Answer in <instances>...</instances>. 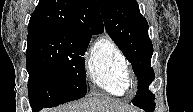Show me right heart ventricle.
Returning <instances> with one entry per match:
<instances>
[{
	"label": "right heart ventricle",
	"mask_w": 193,
	"mask_h": 112,
	"mask_svg": "<svg viewBox=\"0 0 193 112\" xmlns=\"http://www.w3.org/2000/svg\"><path fill=\"white\" fill-rule=\"evenodd\" d=\"M85 69L95 87L114 96L127 94L130 87L128 62L113 38L102 36L92 43L85 58Z\"/></svg>",
	"instance_id": "1"
}]
</instances>
